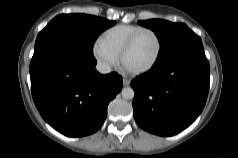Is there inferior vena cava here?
Instances as JSON below:
<instances>
[{
    "mask_svg": "<svg viewBox=\"0 0 238 158\" xmlns=\"http://www.w3.org/2000/svg\"><path fill=\"white\" fill-rule=\"evenodd\" d=\"M96 69L101 74H107V73L111 72L110 65L105 63V62H98L97 65H96Z\"/></svg>",
    "mask_w": 238,
    "mask_h": 158,
    "instance_id": "obj_1",
    "label": "inferior vena cava"
}]
</instances>
